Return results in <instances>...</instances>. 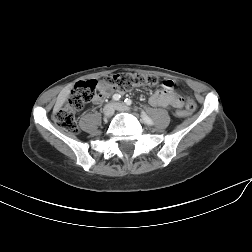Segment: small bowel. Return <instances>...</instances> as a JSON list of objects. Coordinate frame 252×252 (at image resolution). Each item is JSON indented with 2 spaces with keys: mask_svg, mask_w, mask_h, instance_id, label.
<instances>
[{
  "mask_svg": "<svg viewBox=\"0 0 252 252\" xmlns=\"http://www.w3.org/2000/svg\"><path fill=\"white\" fill-rule=\"evenodd\" d=\"M166 81L172 82L171 80ZM163 87L164 89L158 90L150 96L149 103L152 106L161 108H182L184 104L183 99L175 92L173 85L167 86L163 84ZM98 89L99 94L93 99L95 104L103 102L114 92V90L106 87L102 82H99Z\"/></svg>",
  "mask_w": 252,
  "mask_h": 252,
  "instance_id": "small-bowel-1",
  "label": "small bowel"
}]
</instances>
